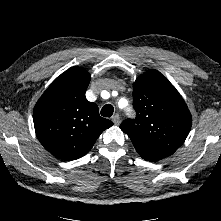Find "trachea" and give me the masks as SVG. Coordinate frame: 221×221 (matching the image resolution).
<instances>
[{"label":"trachea","mask_w":221,"mask_h":221,"mask_svg":"<svg viewBox=\"0 0 221 221\" xmlns=\"http://www.w3.org/2000/svg\"><path fill=\"white\" fill-rule=\"evenodd\" d=\"M114 112V108L112 105L110 104H106L105 106H103V108L101 109V115L103 117H111L113 115Z\"/></svg>","instance_id":"1"}]
</instances>
